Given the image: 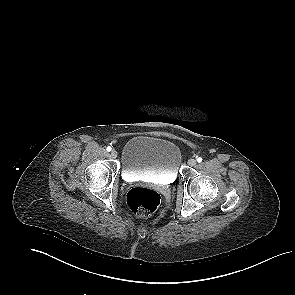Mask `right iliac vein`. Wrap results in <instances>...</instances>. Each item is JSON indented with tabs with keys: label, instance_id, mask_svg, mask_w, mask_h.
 <instances>
[{
	"label": "right iliac vein",
	"instance_id": "63e3f726",
	"mask_svg": "<svg viewBox=\"0 0 295 295\" xmlns=\"http://www.w3.org/2000/svg\"><path fill=\"white\" fill-rule=\"evenodd\" d=\"M110 155H111L112 158H116L117 155H118V153H117V151L112 150L111 153H110Z\"/></svg>",
	"mask_w": 295,
	"mask_h": 295
}]
</instances>
